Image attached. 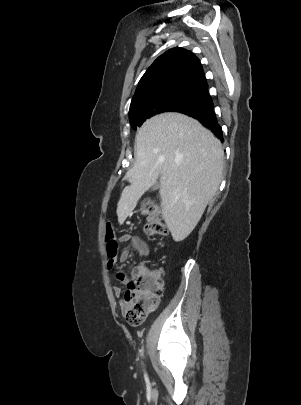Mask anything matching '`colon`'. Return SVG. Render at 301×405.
I'll list each match as a JSON object with an SVG mask.
<instances>
[{
    "label": "colon",
    "mask_w": 301,
    "mask_h": 405,
    "mask_svg": "<svg viewBox=\"0 0 301 405\" xmlns=\"http://www.w3.org/2000/svg\"><path fill=\"white\" fill-rule=\"evenodd\" d=\"M141 213L146 216L144 232L150 238L165 237L168 228L164 222L163 214L151 202H144ZM105 242L109 257L118 251L115 232L110 222L105 224ZM162 295V279L156 272L139 266L132 272V277L120 302L121 310L126 321L131 326L141 325L148 313L156 308Z\"/></svg>",
    "instance_id": "5ec220e1"
}]
</instances>
